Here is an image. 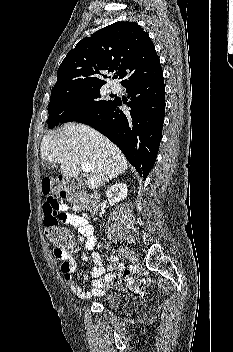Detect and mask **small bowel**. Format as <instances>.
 Listing matches in <instances>:
<instances>
[{
    "mask_svg": "<svg viewBox=\"0 0 233 352\" xmlns=\"http://www.w3.org/2000/svg\"><path fill=\"white\" fill-rule=\"evenodd\" d=\"M42 193L45 200L42 205L44 215V224L57 223L68 224L75 227L78 231V242L70 250H60L55 248L53 254L61 260V271L64 280L71 293L82 300H88L95 296H101L107 285H113L116 282L114 274H104L106 270H112V266H107L101 256L94 251L96 236L93 226L86 215H77L74 209L68 204L61 203L57 195L63 197L61 184L52 180L42 182ZM82 248L90 251V255H83V260L89 258L95 263L92 270V288L89 291H83L74 281V272L76 263L73 255L78 253Z\"/></svg>",
    "mask_w": 233,
    "mask_h": 352,
    "instance_id": "c3829d8e",
    "label": "small bowel"
}]
</instances>
